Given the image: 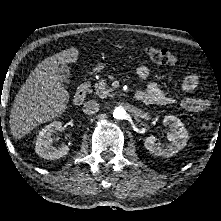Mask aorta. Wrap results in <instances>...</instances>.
I'll list each match as a JSON object with an SVG mask.
<instances>
[{
    "mask_svg": "<svg viewBox=\"0 0 221 221\" xmlns=\"http://www.w3.org/2000/svg\"><path fill=\"white\" fill-rule=\"evenodd\" d=\"M126 116H127V112L121 106L116 107L113 111V117L117 120H124Z\"/></svg>",
    "mask_w": 221,
    "mask_h": 221,
    "instance_id": "aorta-1",
    "label": "aorta"
}]
</instances>
